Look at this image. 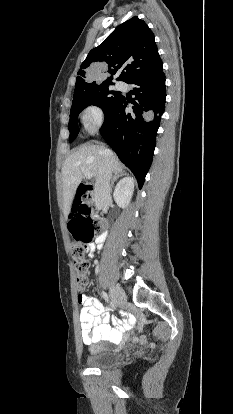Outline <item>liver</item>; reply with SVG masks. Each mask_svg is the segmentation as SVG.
Returning a JSON list of instances; mask_svg holds the SVG:
<instances>
[{
  "label": "liver",
  "mask_w": 233,
  "mask_h": 414,
  "mask_svg": "<svg viewBox=\"0 0 233 414\" xmlns=\"http://www.w3.org/2000/svg\"><path fill=\"white\" fill-rule=\"evenodd\" d=\"M107 157L112 159V172L123 171V166L116 155L102 144L85 145L65 160L62 168L63 212L65 216L70 213L76 190L83 177H86V173L97 177Z\"/></svg>",
  "instance_id": "1"
}]
</instances>
